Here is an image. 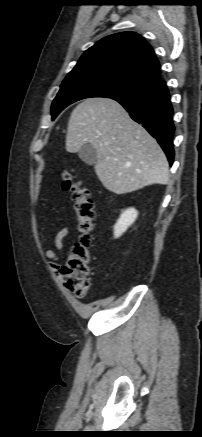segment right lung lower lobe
<instances>
[{"label": "right lung lower lobe", "instance_id": "obj_1", "mask_svg": "<svg viewBox=\"0 0 202 437\" xmlns=\"http://www.w3.org/2000/svg\"><path fill=\"white\" fill-rule=\"evenodd\" d=\"M130 114L131 118L142 124L156 138L165 152L170 165L173 164V108L166 83L156 81L146 91L132 96L114 98Z\"/></svg>", "mask_w": 202, "mask_h": 437}]
</instances>
